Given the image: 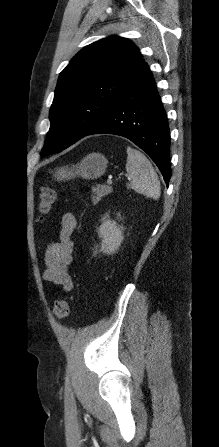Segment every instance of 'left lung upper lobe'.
<instances>
[{"mask_svg": "<svg viewBox=\"0 0 219 447\" xmlns=\"http://www.w3.org/2000/svg\"><path fill=\"white\" fill-rule=\"evenodd\" d=\"M128 39L112 36L83 48L60 73L41 156L62 151L96 125L144 64Z\"/></svg>", "mask_w": 219, "mask_h": 447, "instance_id": "1", "label": "left lung upper lobe"}]
</instances>
